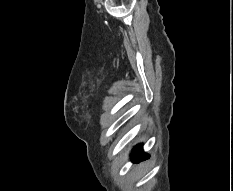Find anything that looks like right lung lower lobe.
<instances>
[{"instance_id":"right-lung-lower-lobe-1","label":"right lung lower lobe","mask_w":233,"mask_h":191,"mask_svg":"<svg viewBox=\"0 0 233 191\" xmlns=\"http://www.w3.org/2000/svg\"><path fill=\"white\" fill-rule=\"evenodd\" d=\"M148 156L147 154L143 153V150L141 148V145H137L134 149V152L132 153L131 159L133 162H137L143 159H146Z\"/></svg>"}]
</instances>
